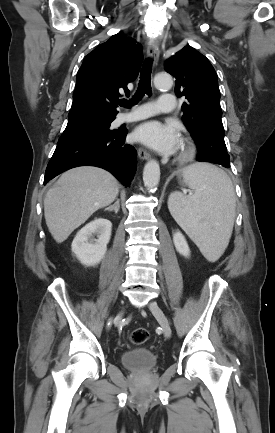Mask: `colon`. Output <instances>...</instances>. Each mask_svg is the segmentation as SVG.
Instances as JSON below:
<instances>
[{
  "instance_id": "5ec220e1",
  "label": "colon",
  "mask_w": 275,
  "mask_h": 433,
  "mask_svg": "<svg viewBox=\"0 0 275 433\" xmlns=\"http://www.w3.org/2000/svg\"><path fill=\"white\" fill-rule=\"evenodd\" d=\"M149 331L145 328H137L131 334V342L134 345H142L149 339Z\"/></svg>"
}]
</instances>
